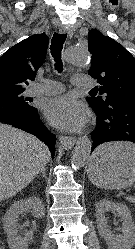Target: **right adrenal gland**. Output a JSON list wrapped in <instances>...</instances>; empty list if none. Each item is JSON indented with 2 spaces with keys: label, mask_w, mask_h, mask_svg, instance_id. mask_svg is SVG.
I'll use <instances>...</instances> for the list:
<instances>
[{
  "label": "right adrenal gland",
  "mask_w": 135,
  "mask_h": 249,
  "mask_svg": "<svg viewBox=\"0 0 135 249\" xmlns=\"http://www.w3.org/2000/svg\"><path fill=\"white\" fill-rule=\"evenodd\" d=\"M41 176H43L45 179H47V176H46V174H45V170H43V171L41 172Z\"/></svg>",
  "instance_id": "2a0ac1e0"
}]
</instances>
